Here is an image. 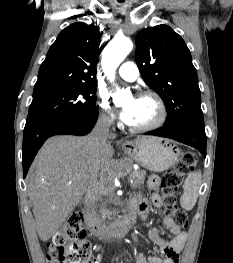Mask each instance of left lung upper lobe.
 <instances>
[{
    "label": "left lung upper lobe",
    "mask_w": 233,
    "mask_h": 263,
    "mask_svg": "<svg viewBox=\"0 0 233 263\" xmlns=\"http://www.w3.org/2000/svg\"><path fill=\"white\" fill-rule=\"evenodd\" d=\"M136 45L142 77L166 104L164 126L204 128L197 71L184 40L169 26L158 25L141 30Z\"/></svg>",
    "instance_id": "5c2ea615"
}]
</instances>
